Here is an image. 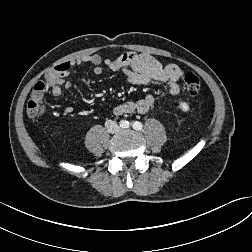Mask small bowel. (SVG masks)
I'll use <instances>...</instances> for the list:
<instances>
[{"label": "small bowel", "instance_id": "1", "mask_svg": "<svg viewBox=\"0 0 252 252\" xmlns=\"http://www.w3.org/2000/svg\"><path fill=\"white\" fill-rule=\"evenodd\" d=\"M84 63L91 64L94 73L97 75L103 72L102 65L104 64L112 71H123L126 80L131 84L148 85L151 83H162L168 87L171 95L175 96L180 92L178 80L182 76V70L178 65L173 63L162 64L147 54L126 52L114 59L105 60L98 54H89L62 64L63 70L58 81L51 82L49 85L51 94L54 97L61 96L63 89L69 90L71 88V83L64 79L69 75L70 68ZM154 102V97L151 94H147L141 100L124 102L116 106L113 111L116 115L133 112L146 115L153 108Z\"/></svg>", "mask_w": 252, "mask_h": 252}]
</instances>
